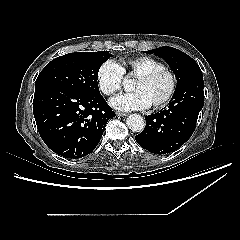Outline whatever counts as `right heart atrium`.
I'll use <instances>...</instances> for the list:
<instances>
[{
  "label": "right heart atrium",
  "mask_w": 240,
  "mask_h": 240,
  "mask_svg": "<svg viewBox=\"0 0 240 240\" xmlns=\"http://www.w3.org/2000/svg\"><path fill=\"white\" fill-rule=\"evenodd\" d=\"M123 73L117 64L111 60L101 65L97 72V82L104 94H112L121 86Z\"/></svg>",
  "instance_id": "obj_1"
}]
</instances>
